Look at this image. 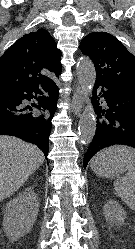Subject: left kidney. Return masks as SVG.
<instances>
[{
	"instance_id": "obj_1",
	"label": "left kidney",
	"mask_w": 135,
	"mask_h": 249,
	"mask_svg": "<svg viewBox=\"0 0 135 249\" xmlns=\"http://www.w3.org/2000/svg\"><path fill=\"white\" fill-rule=\"evenodd\" d=\"M104 216L109 223L122 225L126 218V212L118 202L109 200L104 206Z\"/></svg>"
}]
</instances>
